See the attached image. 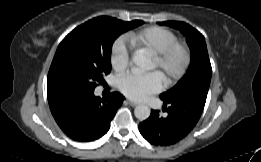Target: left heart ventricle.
Here are the masks:
<instances>
[{"label": "left heart ventricle", "instance_id": "1", "mask_svg": "<svg viewBox=\"0 0 261 162\" xmlns=\"http://www.w3.org/2000/svg\"><path fill=\"white\" fill-rule=\"evenodd\" d=\"M180 63V57L179 56H175L172 61L170 62L169 68L170 69H174L176 68ZM158 68V62L157 60L153 57L152 59V64H151V69H155Z\"/></svg>", "mask_w": 261, "mask_h": 162}]
</instances>
